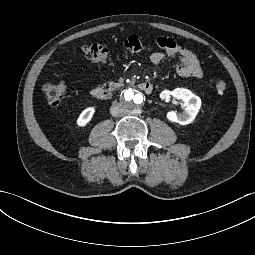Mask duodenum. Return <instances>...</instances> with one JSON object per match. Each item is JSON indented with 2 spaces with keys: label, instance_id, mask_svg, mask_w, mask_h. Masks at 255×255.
Wrapping results in <instances>:
<instances>
[{
  "label": "duodenum",
  "instance_id": "duodenum-1",
  "mask_svg": "<svg viewBox=\"0 0 255 255\" xmlns=\"http://www.w3.org/2000/svg\"><path fill=\"white\" fill-rule=\"evenodd\" d=\"M139 88L147 94H150L153 90V86L150 82H142L139 84ZM90 94L93 98L101 101L108 100L111 97V94L108 90L102 87L93 88L90 91Z\"/></svg>",
  "mask_w": 255,
  "mask_h": 255
}]
</instances>
